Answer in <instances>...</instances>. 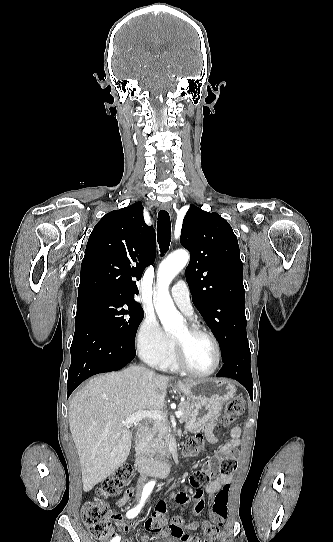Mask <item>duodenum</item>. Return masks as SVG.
I'll return each instance as SVG.
<instances>
[{
    "label": "duodenum",
    "mask_w": 333,
    "mask_h": 542,
    "mask_svg": "<svg viewBox=\"0 0 333 542\" xmlns=\"http://www.w3.org/2000/svg\"><path fill=\"white\" fill-rule=\"evenodd\" d=\"M137 454L134 460L135 468L141 473L154 477H166L169 475L171 466L164 460H151L141 455L140 451L144 445V434L140 432L136 442Z\"/></svg>",
    "instance_id": "410a0bca"
}]
</instances>
